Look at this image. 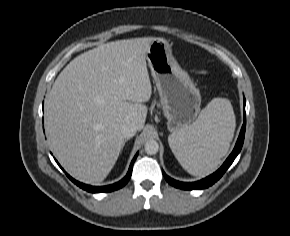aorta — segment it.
I'll return each instance as SVG.
<instances>
[{"label": "aorta", "instance_id": "1", "mask_svg": "<svg viewBox=\"0 0 290 236\" xmlns=\"http://www.w3.org/2000/svg\"><path fill=\"white\" fill-rule=\"evenodd\" d=\"M145 152L150 155H154L159 150V144L156 140L150 139L145 143Z\"/></svg>", "mask_w": 290, "mask_h": 236}]
</instances>
